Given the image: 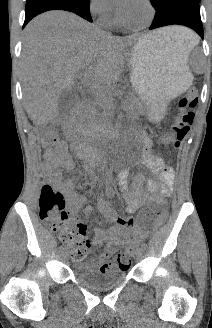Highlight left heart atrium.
<instances>
[{
  "instance_id": "1",
  "label": "left heart atrium",
  "mask_w": 212,
  "mask_h": 328,
  "mask_svg": "<svg viewBox=\"0 0 212 328\" xmlns=\"http://www.w3.org/2000/svg\"><path fill=\"white\" fill-rule=\"evenodd\" d=\"M132 0H115L116 5L121 9H125Z\"/></svg>"
}]
</instances>
